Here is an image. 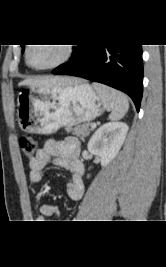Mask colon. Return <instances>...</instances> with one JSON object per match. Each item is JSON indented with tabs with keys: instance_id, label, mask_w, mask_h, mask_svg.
Segmentation results:
<instances>
[{
	"instance_id": "1",
	"label": "colon",
	"mask_w": 166,
	"mask_h": 267,
	"mask_svg": "<svg viewBox=\"0 0 166 267\" xmlns=\"http://www.w3.org/2000/svg\"><path fill=\"white\" fill-rule=\"evenodd\" d=\"M19 147L26 157H33L36 151V142L30 136H22L19 139Z\"/></svg>"
}]
</instances>
